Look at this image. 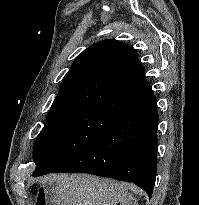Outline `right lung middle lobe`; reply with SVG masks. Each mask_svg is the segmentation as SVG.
Masks as SVG:
<instances>
[{
  "mask_svg": "<svg viewBox=\"0 0 199 205\" xmlns=\"http://www.w3.org/2000/svg\"><path fill=\"white\" fill-rule=\"evenodd\" d=\"M120 118L88 108H69L49 112L33 149V174L50 173L61 163L99 140Z\"/></svg>",
  "mask_w": 199,
  "mask_h": 205,
  "instance_id": "1",
  "label": "right lung middle lobe"
}]
</instances>
